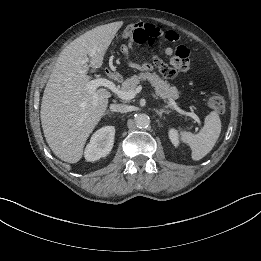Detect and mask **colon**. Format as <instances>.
<instances>
[{"label":"colon","mask_w":261,"mask_h":261,"mask_svg":"<svg viewBox=\"0 0 261 261\" xmlns=\"http://www.w3.org/2000/svg\"><path fill=\"white\" fill-rule=\"evenodd\" d=\"M120 37L123 40L131 39L136 44H147L152 47L155 39L167 41L169 44H174L178 38L176 30L161 28L151 22H139L135 19H126L123 22V28L120 31ZM178 53H183L181 48H178ZM153 64L167 77H171L173 71L167 63L160 57L154 56ZM207 105L210 110L216 113H224L226 109V101L220 95H213L208 98Z\"/></svg>","instance_id":"colon-1"}]
</instances>
